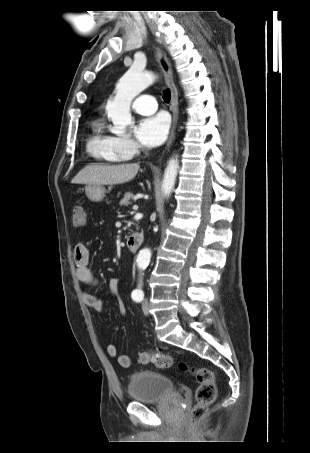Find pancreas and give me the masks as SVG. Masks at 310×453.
I'll return each instance as SVG.
<instances>
[{
    "label": "pancreas",
    "mask_w": 310,
    "mask_h": 453,
    "mask_svg": "<svg viewBox=\"0 0 310 453\" xmlns=\"http://www.w3.org/2000/svg\"><path fill=\"white\" fill-rule=\"evenodd\" d=\"M134 195L131 192H127L124 195V198L119 202L120 206H128L131 204L130 199H132Z\"/></svg>",
    "instance_id": "obj_1"
}]
</instances>
